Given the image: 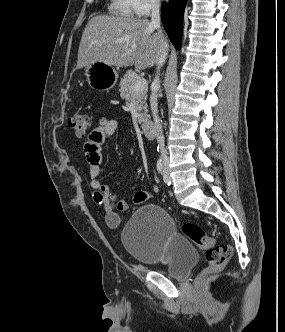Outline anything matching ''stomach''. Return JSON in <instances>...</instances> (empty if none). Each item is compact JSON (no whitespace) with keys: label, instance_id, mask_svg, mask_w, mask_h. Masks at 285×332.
<instances>
[{"label":"stomach","instance_id":"stomach-1","mask_svg":"<svg viewBox=\"0 0 285 332\" xmlns=\"http://www.w3.org/2000/svg\"><path fill=\"white\" fill-rule=\"evenodd\" d=\"M85 76L92 89L108 91L112 89L118 80L117 71L103 62H94L86 66Z\"/></svg>","mask_w":285,"mask_h":332}]
</instances>
